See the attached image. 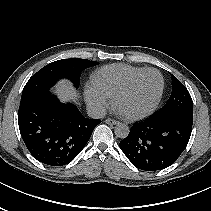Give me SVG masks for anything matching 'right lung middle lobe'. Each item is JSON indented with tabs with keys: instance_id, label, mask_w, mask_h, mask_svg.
Segmentation results:
<instances>
[{
	"instance_id": "right-lung-middle-lobe-1",
	"label": "right lung middle lobe",
	"mask_w": 211,
	"mask_h": 211,
	"mask_svg": "<svg viewBox=\"0 0 211 211\" xmlns=\"http://www.w3.org/2000/svg\"><path fill=\"white\" fill-rule=\"evenodd\" d=\"M97 63L87 59H62L46 65L28 80L22 92L21 102L48 93L61 78L70 79L74 86L78 87L81 71Z\"/></svg>"
}]
</instances>
